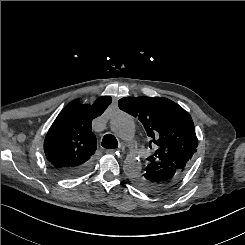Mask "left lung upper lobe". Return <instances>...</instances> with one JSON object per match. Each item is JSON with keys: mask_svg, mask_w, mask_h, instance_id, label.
Masks as SVG:
<instances>
[{"mask_svg": "<svg viewBox=\"0 0 245 245\" xmlns=\"http://www.w3.org/2000/svg\"><path fill=\"white\" fill-rule=\"evenodd\" d=\"M119 108L143 124L151 144L158 146L148 157L145 172L133 178L140 190L152 193L150 177L165 169H173L181 175L191 162L198 146L193 120L190 114L175 102L163 97H124Z\"/></svg>", "mask_w": 245, "mask_h": 245, "instance_id": "5c2ea615", "label": "left lung upper lobe"}]
</instances>
